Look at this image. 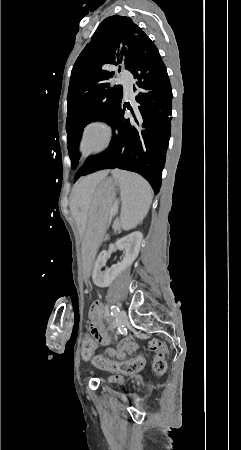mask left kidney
Instances as JSON below:
<instances>
[{
    "label": "left kidney",
    "instance_id": "1",
    "mask_svg": "<svg viewBox=\"0 0 241 450\" xmlns=\"http://www.w3.org/2000/svg\"><path fill=\"white\" fill-rule=\"evenodd\" d=\"M142 240L143 234L141 232H132L129 236H124L121 240H117L116 248L118 250H125V256L122 262H119L116 266H111V268H106L105 272H102V268L106 266L108 252L106 250L100 252L92 274L95 286H98V288H107L119 274L127 270L128 266H131L134 260H136L140 252Z\"/></svg>",
    "mask_w": 241,
    "mask_h": 450
}]
</instances>
